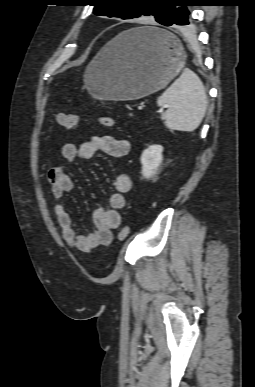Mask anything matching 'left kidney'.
Listing matches in <instances>:
<instances>
[{"instance_id":"1","label":"left kidney","mask_w":255,"mask_h":387,"mask_svg":"<svg viewBox=\"0 0 255 387\" xmlns=\"http://www.w3.org/2000/svg\"><path fill=\"white\" fill-rule=\"evenodd\" d=\"M163 147L161 145H151L145 149L141 155L142 175L145 178L152 177L162 162Z\"/></svg>"}]
</instances>
